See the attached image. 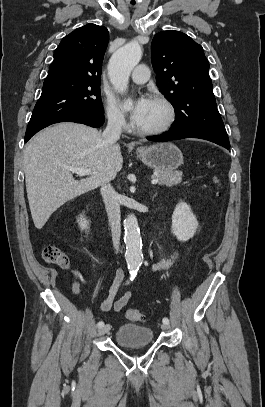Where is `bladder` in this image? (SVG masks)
Listing matches in <instances>:
<instances>
[{
  "label": "bladder",
  "mask_w": 265,
  "mask_h": 407,
  "mask_svg": "<svg viewBox=\"0 0 265 407\" xmlns=\"http://www.w3.org/2000/svg\"><path fill=\"white\" fill-rule=\"evenodd\" d=\"M153 331L150 327L133 323L121 325L115 333V341L125 347L145 346L152 342Z\"/></svg>",
  "instance_id": "obj_1"
}]
</instances>
